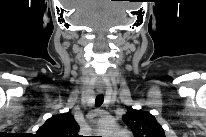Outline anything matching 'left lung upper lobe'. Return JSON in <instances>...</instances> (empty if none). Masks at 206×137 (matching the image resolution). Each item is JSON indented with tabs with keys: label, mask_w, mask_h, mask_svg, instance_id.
Here are the masks:
<instances>
[{
	"label": "left lung upper lobe",
	"mask_w": 206,
	"mask_h": 137,
	"mask_svg": "<svg viewBox=\"0 0 206 137\" xmlns=\"http://www.w3.org/2000/svg\"><path fill=\"white\" fill-rule=\"evenodd\" d=\"M122 119L135 137H165L162 126L148 112L130 109Z\"/></svg>",
	"instance_id": "obj_1"
}]
</instances>
